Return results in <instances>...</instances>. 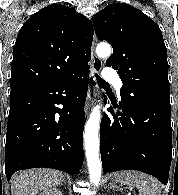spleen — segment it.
Masks as SVG:
<instances>
[{
  "label": "spleen",
  "mask_w": 178,
  "mask_h": 195,
  "mask_svg": "<svg viewBox=\"0 0 178 195\" xmlns=\"http://www.w3.org/2000/svg\"><path fill=\"white\" fill-rule=\"evenodd\" d=\"M114 180L120 184L136 187L139 195H161V184L152 176L137 171H123L114 175Z\"/></svg>",
  "instance_id": "obj_1"
}]
</instances>
